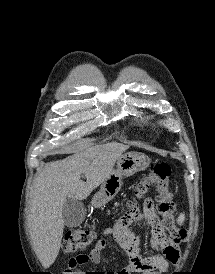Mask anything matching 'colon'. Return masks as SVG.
<instances>
[{"instance_id":"obj_1","label":"colon","mask_w":215,"mask_h":274,"mask_svg":"<svg viewBox=\"0 0 215 274\" xmlns=\"http://www.w3.org/2000/svg\"><path fill=\"white\" fill-rule=\"evenodd\" d=\"M171 168L166 162L151 164L148 176L140 181L135 188V199L141 198L151 187L158 191V209L162 215L163 226L168 231L167 240L175 245H180L186 240V231L176 225L175 203L170 191ZM134 205V202L131 203ZM94 232L87 229H73L66 234L65 251L72 253L85 250L92 243Z\"/></svg>"}]
</instances>
